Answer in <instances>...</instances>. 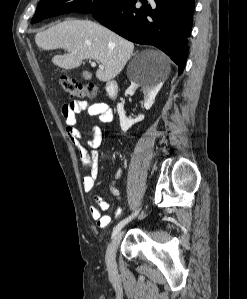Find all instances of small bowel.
Returning a JSON list of instances; mask_svg holds the SVG:
<instances>
[{
  "mask_svg": "<svg viewBox=\"0 0 247 299\" xmlns=\"http://www.w3.org/2000/svg\"><path fill=\"white\" fill-rule=\"evenodd\" d=\"M87 111L91 116L98 117L102 123H109L113 119L112 111L104 102L90 103L84 100H73L62 106V115L65 121V131L70 141L75 144L81 156L82 166L85 171V176L82 179L83 189L86 193H90L94 187L99 175L98 169V153L97 148L102 142V131L98 126L92 128V137L85 140L87 149L81 144L82 135L77 127V115ZM113 195L118 197V190L114 185L111 187ZM96 205H92L89 209L92 219H94L100 228H106L110 222L111 217L103 214L104 211L109 210L110 204L100 195L95 196ZM123 211L118 207L115 209V218H120Z\"/></svg>",
  "mask_w": 247,
  "mask_h": 299,
  "instance_id": "obj_1",
  "label": "small bowel"
}]
</instances>
